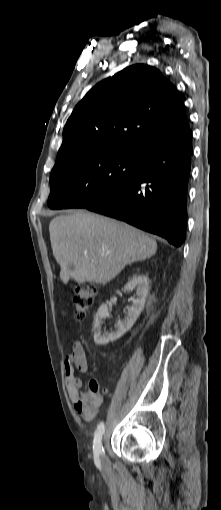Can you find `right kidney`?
I'll list each match as a JSON object with an SVG mask.
<instances>
[{"instance_id":"1","label":"right kidney","mask_w":221,"mask_h":510,"mask_svg":"<svg viewBox=\"0 0 221 510\" xmlns=\"http://www.w3.org/2000/svg\"><path fill=\"white\" fill-rule=\"evenodd\" d=\"M148 284V277L143 274H138L134 275L125 285L124 289L127 291L136 290V298L133 299L132 306L128 309L127 317L117 323L116 330L113 332H104L102 334L101 325L103 320L109 316V313L107 304H102L99 307L93 324L94 342L96 345H106L113 342L131 329L143 310L148 295Z\"/></svg>"}]
</instances>
